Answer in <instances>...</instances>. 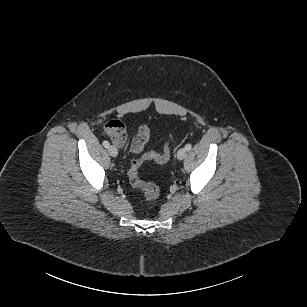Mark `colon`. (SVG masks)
Here are the masks:
<instances>
[{
    "label": "colon",
    "instance_id": "5ec220e1",
    "mask_svg": "<svg viewBox=\"0 0 307 307\" xmlns=\"http://www.w3.org/2000/svg\"><path fill=\"white\" fill-rule=\"evenodd\" d=\"M170 142L167 141L164 146L163 153L149 152L141 157L134 159L128 169V179L132 187L139 189L146 200H154L159 196V188L154 183L145 182L139 177V168L146 160L155 161L157 163H166L170 158Z\"/></svg>",
    "mask_w": 307,
    "mask_h": 307
}]
</instances>
